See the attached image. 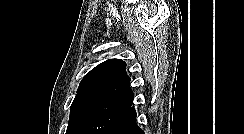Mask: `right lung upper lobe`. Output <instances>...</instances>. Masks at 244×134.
Masks as SVG:
<instances>
[{
  "mask_svg": "<svg viewBox=\"0 0 244 134\" xmlns=\"http://www.w3.org/2000/svg\"><path fill=\"white\" fill-rule=\"evenodd\" d=\"M126 63L108 59L93 68L80 82L71 109L80 104L104 99L133 101Z\"/></svg>",
  "mask_w": 244,
  "mask_h": 134,
  "instance_id": "cb5924a9",
  "label": "right lung upper lobe"
}]
</instances>
